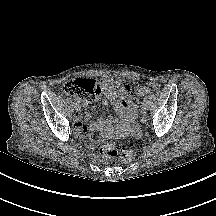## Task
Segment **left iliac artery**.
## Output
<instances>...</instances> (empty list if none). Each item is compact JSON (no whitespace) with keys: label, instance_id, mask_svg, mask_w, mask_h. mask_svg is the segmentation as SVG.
Segmentation results:
<instances>
[{"label":"left iliac artery","instance_id":"left-iliac-artery-1","mask_svg":"<svg viewBox=\"0 0 216 216\" xmlns=\"http://www.w3.org/2000/svg\"><path fill=\"white\" fill-rule=\"evenodd\" d=\"M143 100H144V102H148V99L146 97Z\"/></svg>","mask_w":216,"mask_h":216}]
</instances>
